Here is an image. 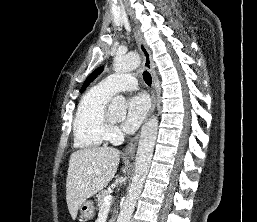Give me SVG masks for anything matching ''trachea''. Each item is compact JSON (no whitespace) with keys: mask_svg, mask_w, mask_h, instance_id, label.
<instances>
[{"mask_svg":"<svg viewBox=\"0 0 257 222\" xmlns=\"http://www.w3.org/2000/svg\"><path fill=\"white\" fill-rule=\"evenodd\" d=\"M143 79H144V81H145V83L147 84V85H151V83H152V77H151V75H150V73L149 72H147V71H144L143 72Z\"/></svg>","mask_w":257,"mask_h":222,"instance_id":"obj_1","label":"trachea"}]
</instances>
